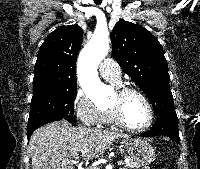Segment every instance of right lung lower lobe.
Returning <instances> with one entry per match:
<instances>
[{
  "mask_svg": "<svg viewBox=\"0 0 200 169\" xmlns=\"http://www.w3.org/2000/svg\"><path fill=\"white\" fill-rule=\"evenodd\" d=\"M61 119H66L70 123L75 122V118L72 115L65 117V118L51 117V118L37 119V120H33V121L29 122L28 123V133H27L28 140L30 139V136L32 135L33 131L35 129H37L38 127L45 125L47 123L53 122V121L61 120Z\"/></svg>",
  "mask_w": 200,
  "mask_h": 169,
  "instance_id": "1",
  "label": "right lung lower lobe"
}]
</instances>
